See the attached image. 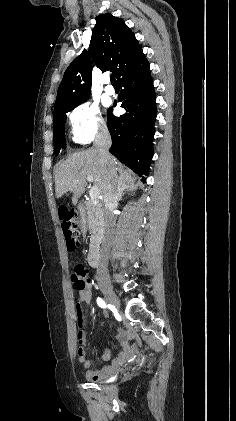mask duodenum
<instances>
[{
    "mask_svg": "<svg viewBox=\"0 0 236 421\" xmlns=\"http://www.w3.org/2000/svg\"><path fill=\"white\" fill-rule=\"evenodd\" d=\"M82 210V205L78 206V211L81 212ZM89 263L92 267H98L99 263H100V257H99V252L97 248H92L89 252ZM123 347H124V352L122 354H120L112 363L111 366L109 367H105L102 368L100 370H96V371H89V378L92 379H98V378H104L107 376L112 375L117 368L122 365L128 358V347L127 344L125 342H123ZM103 359H107V357L105 355H103Z\"/></svg>",
    "mask_w": 236,
    "mask_h": 421,
    "instance_id": "1",
    "label": "duodenum"
}]
</instances>
